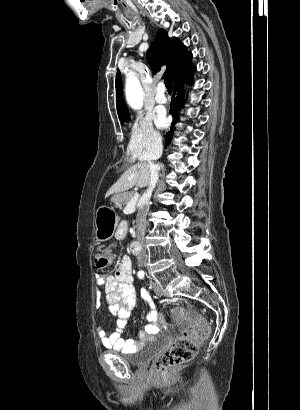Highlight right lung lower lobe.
<instances>
[{
  "label": "right lung lower lobe",
  "mask_w": 300,
  "mask_h": 410,
  "mask_svg": "<svg viewBox=\"0 0 300 410\" xmlns=\"http://www.w3.org/2000/svg\"><path fill=\"white\" fill-rule=\"evenodd\" d=\"M196 67L192 64V62L181 72H179L172 80L171 83L173 84L174 96L170 103V114L173 117V123L171 126V130L166 135V145H168L169 140L173 136V128L174 125L179 121V114L178 112L183 108L184 105V91H183V84H191L192 83V75L195 72Z\"/></svg>",
  "instance_id": "1"
}]
</instances>
